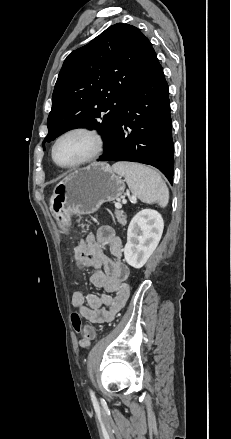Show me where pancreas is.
Instances as JSON below:
<instances>
[{
  "mask_svg": "<svg viewBox=\"0 0 231 439\" xmlns=\"http://www.w3.org/2000/svg\"><path fill=\"white\" fill-rule=\"evenodd\" d=\"M116 219H117V221L122 225V226H125L126 225V215H125V213L123 212V211H121V210H117L116 211Z\"/></svg>",
  "mask_w": 231,
  "mask_h": 439,
  "instance_id": "1",
  "label": "pancreas"
}]
</instances>
